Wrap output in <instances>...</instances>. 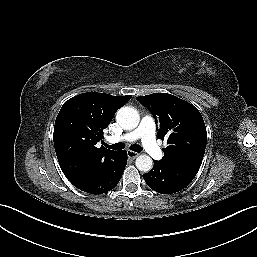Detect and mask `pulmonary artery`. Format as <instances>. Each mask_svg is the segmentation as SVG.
Masks as SVG:
<instances>
[{"mask_svg": "<svg viewBox=\"0 0 257 257\" xmlns=\"http://www.w3.org/2000/svg\"><path fill=\"white\" fill-rule=\"evenodd\" d=\"M156 123L153 117L144 116L139 126L123 136L109 137L110 142H133L138 139L141 140L143 147L148 154L154 159H160L162 152L156 144Z\"/></svg>", "mask_w": 257, "mask_h": 257, "instance_id": "pulmonary-artery-1", "label": "pulmonary artery"}]
</instances>
